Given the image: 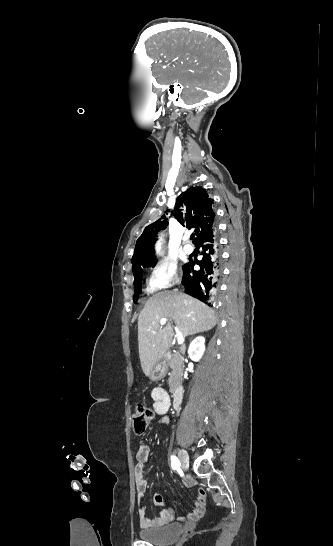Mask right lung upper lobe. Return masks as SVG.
Returning a JSON list of instances; mask_svg holds the SVG:
<instances>
[{
    "label": "right lung upper lobe",
    "instance_id": "right-lung-upper-lobe-1",
    "mask_svg": "<svg viewBox=\"0 0 333 546\" xmlns=\"http://www.w3.org/2000/svg\"><path fill=\"white\" fill-rule=\"evenodd\" d=\"M175 218L181 225L196 233V242L203 234L214 227L215 213L213 201L202 187H193L179 195L175 205ZM166 217H162L145 228L137 239L135 252L132 257V270L134 276L142 272V268L154 267V243L155 236L168 225Z\"/></svg>",
    "mask_w": 333,
    "mask_h": 546
}]
</instances>
